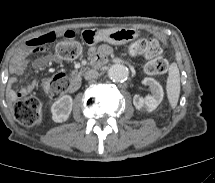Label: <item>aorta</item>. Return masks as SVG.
Returning <instances> with one entry per match:
<instances>
[{
    "instance_id": "aorta-1",
    "label": "aorta",
    "mask_w": 215,
    "mask_h": 183,
    "mask_svg": "<svg viewBox=\"0 0 215 183\" xmlns=\"http://www.w3.org/2000/svg\"><path fill=\"white\" fill-rule=\"evenodd\" d=\"M107 76L116 82H123L129 76V69L123 64H113L107 69Z\"/></svg>"
}]
</instances>
